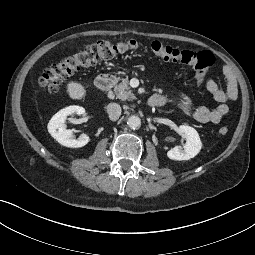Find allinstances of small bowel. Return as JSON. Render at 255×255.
<instances>
[{
	"label": "small bowel",
	"instance_id": "c3829d8e",
	"mask_svg": "<svg viewBox=\"0 0 255 255\" xmlns=\"http://www.w3.org/2000/svg\"><path fill=\"white\" fill-rule=\"evenodd\" d=\"M223 74L226 81L225 90L212 79H206L204 83L206 89L219 103L215 108H208L205 106L196 107L191 98L184 93L168 94L159 92L153 97L159 101V106L165 104L169 100L175 102L186 115L196 122L217 124L221 122L228 113V102L235 100L238 94L237 79L232 69L228 66H224Z\"/></svg>",
	"mask_w": 255,
	"mask_h": 255
}]
</instances>
